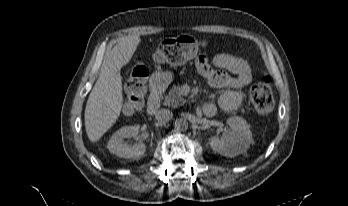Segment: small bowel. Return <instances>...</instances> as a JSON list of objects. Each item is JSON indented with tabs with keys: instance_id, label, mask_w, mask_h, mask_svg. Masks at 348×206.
I'll list each match as a JSON object with an SVG mask.
<instances>
[{
	"instance_id": "c3829d8e",
	"label": "small bowel",
	"mask_w": 348,
	"mask_h": 206,
	"mask_svg": "<svg viewBox=\"0 0 348 206\" xmlns=\"http://www.w3.org/2000/svg\"><path fill=\"white\" fill-rule=\"evenodd\" d=\"M196 66L212 87L226 89L219 96V105L224 110L232 111L241 105L244 100L242 88L252 81L251 68L244 58L221 53L214 56L210 63L206 56H200Z\"/></svg>"
}]
</instances>
